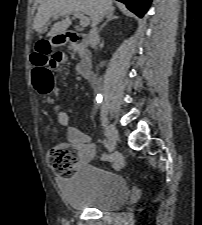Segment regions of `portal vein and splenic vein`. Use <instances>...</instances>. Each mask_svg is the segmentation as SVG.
Returning a JSON list of instances; mask_svg holds the SVG:
<instances>
[{
    "label": "portal vein and splenic vein",
    "instance_id": "portal-vein-and-splenic-vein-1",
    "mask_svg": "<svg viewBox=\"0 0 202 225\" xmlns=\"http://www.w3.org/2000/svg\"><path fill=\"white\" fill-rule=\"evenodd\" d=\"M73 16L80 19V25L82 27H87L90 23L89 18L84 16L82 13L74 12ZM54 18L57 19L58 16H54Z\"/></svg>",
    "mask_w": 202,
    "mask_h": 225
}]
</instances>
